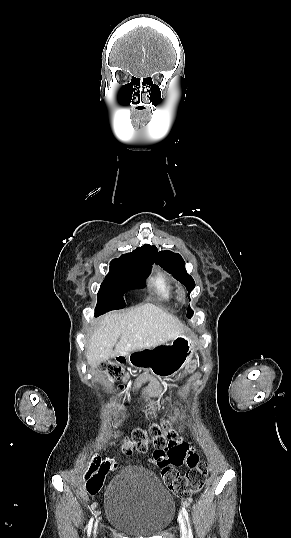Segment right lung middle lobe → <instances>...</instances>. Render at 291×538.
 <instances>
[{
  "instance_id": "obj_1",
  "label": "right lung middle lobe",
  "mask_w": 291,
  "mask_h": 538,
  "mask_svg": "<svg viewBox=\"0 0 291 538\" xmlns=\"http://www.w3.org/2000/svg\"><path fill=\"white\" fill-rule=\"evenodd\" d=\"M153 263V261L114 259L99 289L95 315L125 307L124 293L144 287Z\"/></svg>"
}]
</instances>
